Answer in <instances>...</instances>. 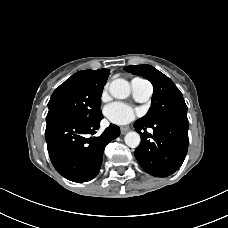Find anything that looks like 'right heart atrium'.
I'll use <instances>...</instances> for the list:
<instances>
[{"instance_id":"obj_1","label":"right heart atrium","mask_w":228,"mask_h":228,"mask_svg":"<svg viewBox=\"0 0 228 228\" xmlns=\"http://www.w3.org/2000/svg\"><path fill=\"white\" fill-rule=\"evenodd\" d=\"M107 93V86L103 90V96Z\"/></svg>"}]
</instances>
